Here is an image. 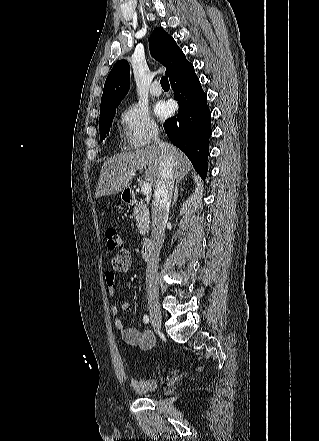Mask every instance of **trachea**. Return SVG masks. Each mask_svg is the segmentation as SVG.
I'll list each match as a JSON object with an SVG mask.
<instances>
[{"label":"trachea","mask_w":319,"mask_h":441,"mask_svg":"<svg viewBox=\"0 0 319 441\" xmlns=\"http://www.w3.org/2000/svg\"><path fill=\"white\" fill-rule=\"evenodd\" d=\"M160 84L162 87H170L167 77H162L160 80Z\"/></svg>","instance_id":"3493384b"}]
</instances>
